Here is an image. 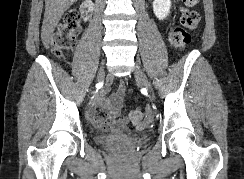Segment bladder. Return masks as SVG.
Segmentation results:
<instances>
[{"label":"bladder","instance_id":"31cf9c89","mask_svg":"<svg viewBox=\"0 0 244 179\" xmlns=\"http://www.w3.org/2000/svg\"><path fill=\"white\" fill-rule=\"evenodd\" d=\"M129 140L130 141L135 140V142H136V145L134 147L135 149H139L140 147L148 146V144H149V138L146 136H139L136 139H129Z\"/></svg>","mask_w":244,"mask_h":179}]
</instances>
